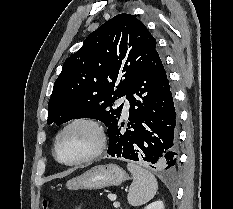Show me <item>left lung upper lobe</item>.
<instances>
[{"label":"left lung upper lobe","instance_id":"1","mask_svg":"<svg viewBox=\"0 0 233 209\" xmlns=\"http://www.w3.org/2000/svg\"><path fill=\"white\" fill-rule=\"evenodd\" d=\"M156 40L133 15L118 14L93 31L66 59L48 104V124L92 118L108 128L120 119L125 96L149 58Z\"/></svg>","mask_w":233,"mask_h":209}]
</instances>
